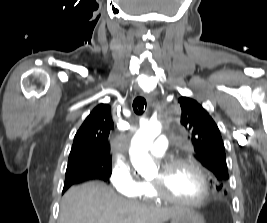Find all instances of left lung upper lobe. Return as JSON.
I'll return each mask as SVG.
<instances>
[{
    "label": "left lung upper lobe",
    "mask_w": 267,
    "mask_h": 223,
    "mask_svg": "<svg viewBox=\"0 0 267 223\" xmlns=\"http://www.w3.org/2000/svg\"><path fill=\"white\" fill-rule=\"evenodd\" d=\"M178 101L182 110L181 124L189 133L196 158L213 174L216 189L223 192L229 176L220 131L208 112L195 100L181 97Z\"/></svg>",
    "instance_id": "obj_1"
}]
</instances>
